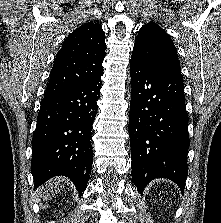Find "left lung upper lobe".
I'll return each instance as SVG.
<instances>
[{"mask_svg":"<svg viewBox=\"0 0 221 223\" xmlns=\"http://www.w3.org/2000/svg\"><path fill=\"white\" fill-rule=\"evenodd\" d=\"M132 56L159 70L181 75L177 51L171 38L154 22L139 30Z\"/></svg>","mask_w":221,"mask_h":223,"instance_id":"left-lung-upper-lobe-1","label":"left lung upper lobe"}]
</instances>
